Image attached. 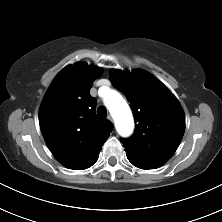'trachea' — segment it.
<instances>
[{
    "label": "trachea",
    "mask_w": 222,
    "mask_h": 222,
    "mask_svg": "<svg viewBox=\"0 0 222 222\" xmlns=\"http://www.w3.org/2000/svg\"><path fill=\"white\" fill-rule=\"evenodd\" d=\"M97 113L101 116V117H106L107 116V110L104 106H100L97 109Z\"/></svg>",
    "instance_id": "trachea-1"
}]
</instances>
